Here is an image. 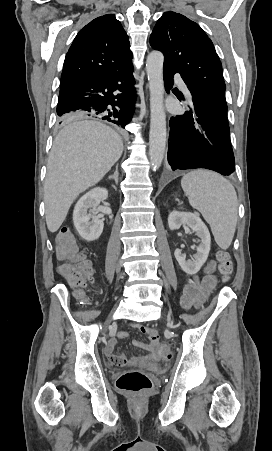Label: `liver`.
<instances>
[{
    "instance_id": "liver-1",
    "label": "liver",
    "mask_w": 272,
    "mask_h": 451,
    "mask_svg": "<svg viewBox=\"0 0 272 451\" xmlns=\"http://www.w3.org/2000/svg\"><path fill=\"white\" fill-rule=\"evenodd\" d=\"M122 152V138L112 128L72 116L57 134L47 164L44 202L49 231L62 226L77 196L98 184Z\"/></svg>"
}]
</instances>
